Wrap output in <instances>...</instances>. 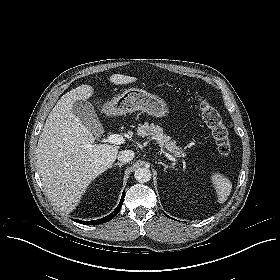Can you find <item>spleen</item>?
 <instances>
[{"instance_id": "spleen-1", "label": "spleen", "mask_w": 280, "mask_h": 280, "mask_svg": "<svg viewBox=\"0 0 280 280\" xmlns=\"http://www.w3.org/2000/svg\"><path fill=\"white\" fill-rule=\"evenodd\" d=\"M213 184L216 188L218 202L223 203L227 200L232 189V183L229 178L222 174L216 173L212 177Z\"/></svg>"}]
</instances>
